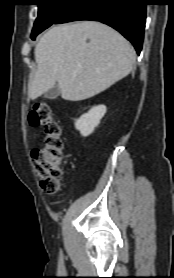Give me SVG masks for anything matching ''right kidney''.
<instances>
[{
  "mask_svg": "<svg viewBox=\"0 0 174 278\" xmlns=\"http://www.w3.org/2000/svg\"><path fill=\"white\" fill-rule=\"evenodd\" d=\"M105 105L92 107L88 113L83 114L79 119L75 120V128L80 131L83 137H87L93 133L94 129L99 125L100 120L106 113Z\"/></svg>",
  "mask_w": 174,
  "mask_h": 278,
  "instance_id": "1",
  "label": "right kidney"
}]
</instances>
